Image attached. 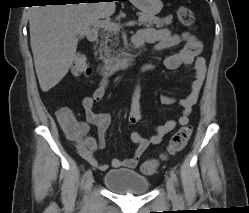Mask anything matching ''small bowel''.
<instances>
[{"instance_id": "small-bowel-1", "label": "small bowel", "mask_w": 249, "mask_h": 213, "mask_svg": "<svg viewBox=\"0 0 249 213\" xmlns=\"http://www.w3.org/2000/svg\"><path fill=\"white\" fill-rule=\"evenodd\" d=\"M133 43L138 46L150 44L155 52L183 44V47L177 53L171 54L164 59V66L169 70L178 69L180 66H192L194 79L191 83L189 94L180 101L183 111L178 120H168L163 125L156 126L154 133L148 137L133 131L130 139L136 145V149L130 158H114L111 161V166L116 169L122 167L134 168L150 145L161 143L163 137L174 130L177 124L185 126L189 123L192 107L198 100L207 72L206 60L200 56L202 43L189 32L176 34L167 28H143L136 33ZM152 69V64H146L141 68V71L145 72ZM107 87L108 79L104 78L94 91L83 99L82 104L86 113V121L77 120L72 109L68 107H62L56 112L60 126L68 137L76 142L81 157L88 164L101 171L107 170L108 165L100 163L94 153L99 149H104L106 146V134L111 124V116L107 113H96L94 105L104 97ZM161 102L165 105H170L174 100L171 97L162 96ZM141 120L139 97L135 93L128 115V123L137 124ZM90 125L96 126L97 137L89 134Z\"/></svg>"}]
</instances>
